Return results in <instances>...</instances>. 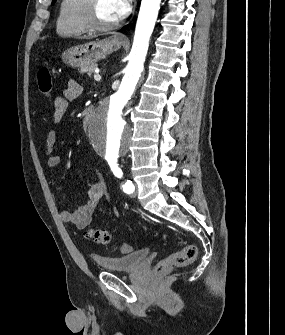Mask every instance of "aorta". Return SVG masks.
Returning <instances> with one entry per match:
<instances>
[{
    "mask_svg": "<svg viewBox=\"0 0 285 335\" xmlns=\"http://www.w3.org/2000/svg\"><path fill=\"white\" fill-rule=\"evenodd\" d=\"M160 4L161 0H142L129 62L119 90H112L111 95H106V100H100L96 112H92L89 127L85 128V133L92 137L91 147H97L96 156L101 160H120L125 152L130 151L133 130H130V125H125L123 112L127 102H133L135 86L144 70Z\"/></svg>",
    "mask_w": 285,
    "mask_h": 335,
    "instance_id": "obj_1",
    "label": "aorta"
}]
</instances>
